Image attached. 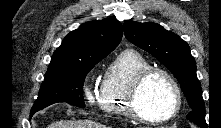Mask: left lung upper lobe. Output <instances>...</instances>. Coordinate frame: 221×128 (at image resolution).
Masks as SVG:
<instances>
[{
  "label": "left lung upper lobe",
  "instance_id": "obj_1",
  "mask_svg": "<svg viewBox=\"0 0 221 128\" xmlns=\"http://www.w3.org/2000/svg\"><path fill=\"white\" fill-rule=\"evenodd\" d=\"M124 33L131 43L149 52L173 73L192 108L186 118L200 127H207L196 63L187 42L153 22L125 21Z\"/></svg>",
  "mask_w": 221,
  "mask_h": 128
}]
</instances>
